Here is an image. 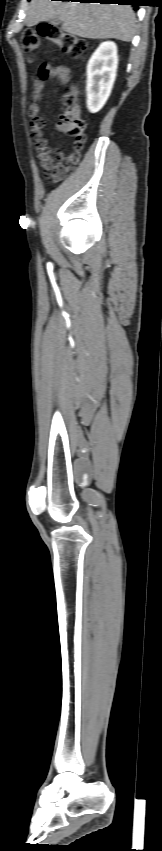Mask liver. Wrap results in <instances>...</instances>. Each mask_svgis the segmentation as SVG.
<instances>
[{"label": "liver", "mask_w": 162, "mask_h": 851, "mask_svg": "<svg viewBox=\"0 0 162 851\" xmlns=\"http://www.w3.org/2000/svg\"><path fill=\"white\" fill-rule=\"evenodd\" d=\"M58 18L62 30L83 38H114L130 42L134 36L135 14L129 5L31 0L25 23L32 27Z\"/></svg>", "instance_id": "1"}]
</instances>
